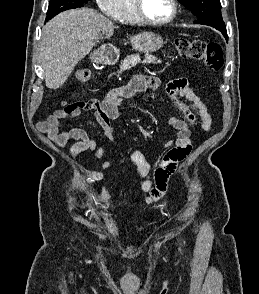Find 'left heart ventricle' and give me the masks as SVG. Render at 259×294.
Segmentation results:
<instances>
[{
    "label": "left heart ventricle",
    "mask_w": 259,
    "mask_h": 294,
    "mask_svg": "<svg viewBox=\"0 0 259 294\" xmlns=\"http://www.w3.org/2000/svg\"><path fill=\"white\" fill-rule=\"evenodd\" d=\"M146 15L154 20L167 19L172 12L170 0H143Z\"/></svg>",
    "instance_id": "b2bd125f"
}]
</instances>
